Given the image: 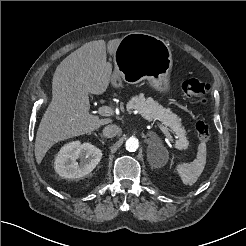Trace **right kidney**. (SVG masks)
Returning <instances> with one entry per match:
<instances>
[{
    "instance_id": "right-kidney-1",
    "label": "right kidney",
    "mask_w": 246,
    "mask_h": 246,
    "mask_svg": "<svg viewBox=\"0 0 246 246\" xmlns=\"http://www.w3.org/2000/svg\"><path fill=\"white\" fill-rule=\"evenodd\" d=\"M102 158V151L91 143L69 142L57 154L54 168L66 179L82 178L89 174ZM79 160V162H77Z\"/></svg>"
}]
</instances>
